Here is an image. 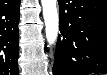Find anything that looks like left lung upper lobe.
<instances>
[{"label": "left lung upper lobe", "mask_w": 107, "mask_h": 75, "mask_svg": "<svg viewBox=\"0 0 107 75\" xmlns=\"http://www.w3.org/2000/svg\"><path fill=\"white\" fill-rule=\"evenodd\" d=\"M83 35V27L78 17H73L69 22V30L67 38L74 41L78 40Z\"/></svg>", "instance_id": "1"}]
</instances>
